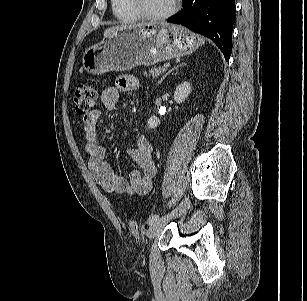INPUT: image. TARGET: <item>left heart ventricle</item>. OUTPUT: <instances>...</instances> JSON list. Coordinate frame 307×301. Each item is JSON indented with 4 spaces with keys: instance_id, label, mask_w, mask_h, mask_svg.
<instances>
[{
    "instance_id": "obj_1",
    "label": "left heart ventricle",
    "mask_w": 307,
    "mask_h": 301,
    "mask_svg": "<svg viewBox=\"0 0 307 301\" xmlns=\"http://www.w3.org/2000/svg\"><path fill=\"white\" fill-rule=\"evenodd\" d=\"M143 8L152 14H160L170 9L173 0H141Z\"/></svg>"
}]
</instances>
